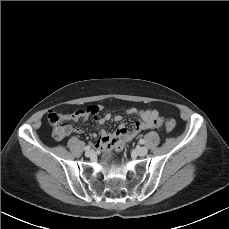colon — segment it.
Here are the masks:
<instances>
[{
	"label": "colon",
	"instance_id": "1",
	"mask_svg": "<svg viewBox=\"0 0 229 229\" xmlns=\"http://www.w3.org/2000/svg\"><path fill=\"white\" fill-rule=\"evenodd\" d=\"M98 111H99V107L97 105L88 106L85 110V112L89 115L90 114L95 115L98 113ZM48 120L49 123L54 127L55 136L57 138L63 137L65 132L69 128L68 124L62 121L60 116L54 111H50V113L48 114ZM159 121L160 119L157 117L154 119V123H158ZM175 127H176V122L174 120L170 119L165 122V128L167 131H173ZM117 142L118 139H114L112 144L115 145Z\"/></svg>",
	"mask_w": 229,
	"mask_h": 229
}]
</instances>
